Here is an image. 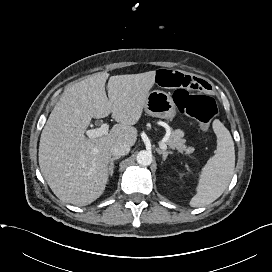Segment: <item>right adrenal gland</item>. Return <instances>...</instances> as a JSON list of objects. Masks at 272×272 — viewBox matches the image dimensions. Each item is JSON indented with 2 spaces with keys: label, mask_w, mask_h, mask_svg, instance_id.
I'll use <instances>...</instances> for the list:
<instances>
[{
  "label": "right adrenal gland",
  "mask_w": 272,
  "mask_h": 272,
  "mask_svg": "<svg viewBox=\"0 0 272 272\" xmlns=\"http://www.w3.org/2000/svg\"><path fill=\"white\" fill-rule=\"evenodd\" d=\"M119 158H120V157H113V158H111L110 164H109V166H108V174H109L110 176H112L113 173H114V161L118 160Z\"/></svg>",
  "instance_id": "right-adrenal-gland-1"
}]
</instances>
